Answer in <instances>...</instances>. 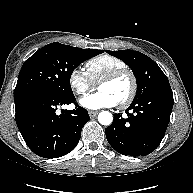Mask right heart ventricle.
Segmentation results:
<instances>
[{
  "label": "right heart ventricle",
  "mask_w": 193,
  "mask_h": 193,
  "mask_svg": "<svg viewBox=\"0 0 193 193\" xmlns=\"http://www.w3.org/2000/svg\"><path fill=\"white\" fill-rule=\"evenodd\" d=\"M122 68H127V64L109 54L98 55L86 62V72L95 84L107 74Z\"/></svg>",
  "instance_id": "e07e8e85"
}]
</instances>
